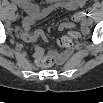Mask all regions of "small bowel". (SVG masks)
I'll return each instance as SVG.
<instances>
[{"label": "small bowel", "mask_w": 103, "mask_h": 103, "mask_svg": "<svg viewBox=\"0 0 103 103\" xmlns=\"http://www.w3.org/2000/svg\"><path fill=\"white\" fill-rule=\"evenodd\" d=\"M85 5L84 0H58V1H50L45 7H40L37 4L28 1V0H18L13 2L9 8L11 10L12 7L16 8L20 7L26 12V17L22 21V26L17 27L15 29V34L32 43H36L39 40H43L45 38V34L43 31H32V28L34 24L36 23L37 20L42 19L49 15L50 13L60 10V9H65V10H76L78 8H81ZM15 14L12 12L11 15ZM89 12L85 11L81 14H77L74 19L78 22H81L82 24V29L83 31H86L87 29V24L86 21L88 19ZM74 24L71 22H62L59 24V30H65V29H70L73 28ZM42 54V49L40 47H36L34 55L35 57H39ZM71 51H66L58 55L60 57V62H64L68 57L70 56Z\"/></svg>", "instance_id": "1"}]
</instances>
